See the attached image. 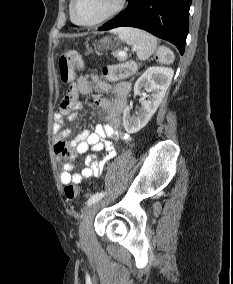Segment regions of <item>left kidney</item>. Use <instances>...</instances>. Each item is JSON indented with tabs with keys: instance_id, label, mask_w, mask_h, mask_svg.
Returning <instances> with one entry per match:
<instances>
[{
	"instance_id": "1",
	"label": "left kidney",
	"mask_w": 233,
	"mask_h": 284,
	"mask_svg": "<svg viewBox=\"0 0 233 284\" xmlns=\"http://www.w3.org/2000/svg\"><path fill=\"white\" fill-rule=\"evenodd\" d=\"M173 73L171 68L153 66L147 68L139 77L134 85V95L140 94L142 90H145L149 95H147V99L140 101L141 108L136 116L130 114L129 106L124 109L123 125L128 133L138 132L150 121L165 96Z\"/></svg>"
}]
</instances>
